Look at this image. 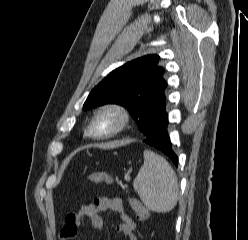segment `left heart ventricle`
<instances>
[{
  "instance_id": "left-heart-ventricle-1",
  "label": "left heart ventricle",
  "mask_w": 248,
  "mask_h": 240,
  "mask_svg": "<svg viewBox=\"0 0 248 240\" xmlns=\"http://www.w3.org/2000/svg\"><path fill=\"white\" fill-rule=\"evenodd\" d=\"M119 119L112 112H103L97 116L94 125V131L102 134L113 130L118 125Z\"/></svg>"
}]
</instances>
